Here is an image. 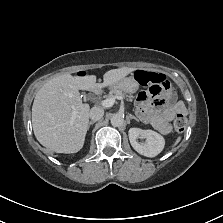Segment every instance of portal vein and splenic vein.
Segmentation results:
<instances>
[{
  "instance_id": "obj_1",
  "label": "portal vein and splenic vein",
  "mask_w": 223,
  "mask_h": 223,
  "mask_svg": "<svg viewBox=\"0 0 223 223\" xmlns=\"http://www.w3.org/2000/svg\"><path fill=\"white\" fill-rule=\"evenodd\" d=\"M116 99H119L120 100L121 99V96H115L113 98H108L106 100H103L102 101V106L103 107H106V108L112 107L114 105ZM72 109H73V111H72V116H71V119H70V123L71 124L74 123V121L76 119V116H77V112H76L75 108L72 107Z\"/></svg>"
}]
</instances>
